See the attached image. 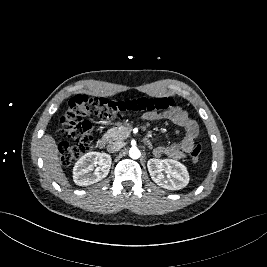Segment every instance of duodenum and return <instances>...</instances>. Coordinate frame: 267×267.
Returning <instances> with one entry per match:
<instances>
[{"instance_id": "duodenum-1", "label": "duodenum", "mask_w": 267, "mask_h": 267, "mask_svg": "<svg viewBox=\"0 0 267 267\" xmlns=\"http://www.w3.org/2000/svg\"><path fill=\"white\" fill-rule=\"evenodd\" d=\"M107 144H108V138L107 137H102L97 142V146L99 149H104L107 146Z\"/></svg>"}]
</instances>
